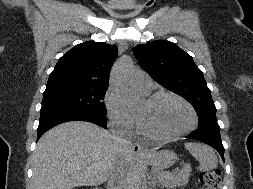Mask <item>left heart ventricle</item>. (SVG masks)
I'll return each mask as SVG.
<instances>
[{
	"label": "left heart ventricle",
	"mask_w": 253,
	"mask_h": 189,
	"mask_svg": "<svg viewBox=\"0 0 253 189\" xmlns=\"http://www.w3.org/2000/svg\"><path fill=\"white\" fill-rule=\"evenodd\" d=\"M137 115L141 127L156 136L172 135L191 122L189 110L172 98H162L154 103L145 101Z\"/></svg>",
	"instance_id": "left-heart-ventricle-1"
}]
</instances>
